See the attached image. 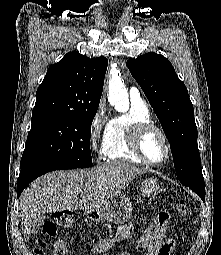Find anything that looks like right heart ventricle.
<instances>
[{"mask_svg": "<svg viewBox=\"0 0 221 255\" xmlns=\"http://www.w3.org/2000/svg\"><path fill=\"white\" fill-rule=\"evenodd\" d=\"M151 114L145 104L131 102L127 113L110 120L102 143V153L108 160H121L141 164L129 145V130L139 122H151Z\"/></svg>", "mask_w": 221, "mask_h": 255, "instance_id": "obj_1", "label": "right heart ventricle"}]
</instances>
